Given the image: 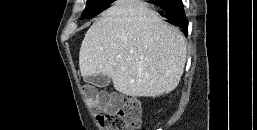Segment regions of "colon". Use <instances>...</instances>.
I'll use <instances>...</instances> for the list:
<instances>
[{"mask_svg": "<svg viewBox=\"0 0 257 130\" xmlns=\"http://www.w3.org/2000/svg\"><path fill=\"white\" fill-rule=\"evenodd\" d=\"M86 96L94 94L93 87H86ZM97 119L105 130H135L141 126L142 109L140 101L133 96L127 97L122 105L99 114Z\"/></svg>", "mask_w": 257, "mask_h": 130, "instance_id": "1", "label": "colon"}]
</instances>
